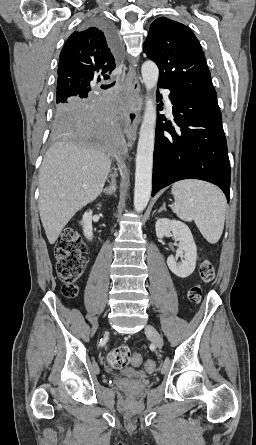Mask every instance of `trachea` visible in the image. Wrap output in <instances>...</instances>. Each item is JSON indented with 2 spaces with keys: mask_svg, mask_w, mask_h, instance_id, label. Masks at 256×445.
<instances>
[{
  "mask_svg": "<svg viewBox=\"0 0 256 445\" xmlns=\"http://www.w3.org/2000/svg\"><path fill=\"white\" fill-rule=\"evenodd\" d=\"M114 85H115V82L111 83L110 85L102 86V88L108 89V88L113 87Z\"/></svg>",
  "mask_w": 256,
  "mask_h": 445,
  "instance_id": "1",
  "label": "trachea"
}]
</instances>
